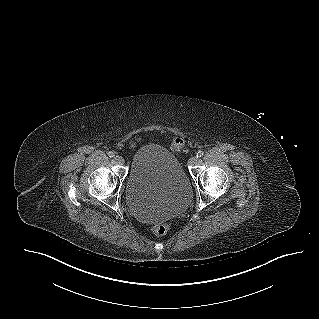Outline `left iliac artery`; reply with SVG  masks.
Returning a JSON list of instances; mask_svg holds the SVG:
<instances>
[{
  "label": "left iliac artery",
  "mask_w": 319,
  "mask_h": 319,
  "mask_svg": "<svg viewBox=\"0 0 319 319\" xmlns=\"http://www.w3.org/2000/svg\"><path fill=\"white\" fill-rule=\"evenodd\" d=\"M204 155V152L203 151H199L196 155L197 158H200Z\"/></svg>",
  "instance_id": "left-iliac-artery-1"
}]
</instances>
